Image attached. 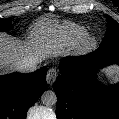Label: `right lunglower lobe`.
<instances>
[{"label":"right lung lower lobe","mask_w":119,"mask_h":119,"mask_svg":"<svg viewBox=\"0 0 119 119\" xmlns=\"http://www.w3.org/2000/svg\"><path fill=\"white\" fill-rule=\"evenodd\" d=\"M47 68L30 74L0 77V119H26V113L46 90Z\"/></svg>","instance_id":"obj_1"}]
</instances>
